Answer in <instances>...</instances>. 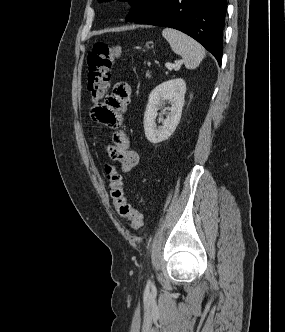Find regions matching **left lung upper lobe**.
Returning a JSON list of instances; mask_svg holds the SVG:
<instances>
[{
	"instance_id": "1",
	"label": "left lung upper lobe",
	"mask_w": 285,
	"mask_h": 332,
	"mask_svg": "<svg viewBox=\"0 0 285 332\" xmlns=\"http://www.w3.org/2000/svg\"><path fill=\"white\" fill-rule=\"evenodd\" d=\"M106 1V0H99ZM159 0H131L132 9L128 14L126 21L135 22L146 14Z\"/></svg>"
}]
</instances>
